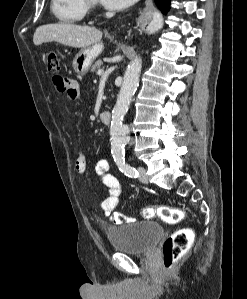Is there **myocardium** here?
<instances>
[{"label":"myocardium","instance_id":"myocardium-1","mask_svg":"<svg viewBox=\"0 0 247 299\" xmlns=\"http://www.w3.org/2000/svg\"><path fill=\"white\" fill-rule=\"evenodd\" d=\"M87 9H94L97 5V0H84Z\"/></svg>","mask_w":247,"mask_h":299}]
</instances>
